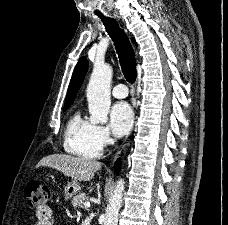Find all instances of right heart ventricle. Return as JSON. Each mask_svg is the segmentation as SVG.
<instances>
[{
    "label": "right heart ventricle",
    "instance_id": "1",
    "mask_svg": "<svg viewBox=\"0 0 228 225\" xmlns=\"http://www.w3.org/2000/svg\"><path fill=\"white\" fill-rule=\"evenodd\" d=\"M63 149L66 153L83 158H97L102 153L95 124L82 118L79 110H75L67 120Z\"/></svg>",
    "mask_w": 228,
    "mask_h": 225
}]
</instances>
